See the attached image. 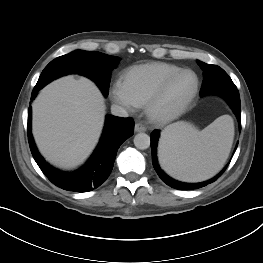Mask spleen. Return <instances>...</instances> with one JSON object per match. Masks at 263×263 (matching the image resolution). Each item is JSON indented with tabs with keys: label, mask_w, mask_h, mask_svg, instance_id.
Segmentation results:
<instances>
[{
	"label": "spleen",
	"mask_w": 263,
	"mask_h": 263,
	"mask_svg": "<svg viewBox=\"0 0 263 263\" xmlns=\"http://www.w3.org/2000/svg\"><path fill=\"white\" fill-rule=\"evenodd\" d=\"M234 137V124L223 115L198 131L190 124L167 126L159 142V162L171 177L200 182L214 176L226 162Z\"/></svg>",
	"instance_id": "obj_1"
}]
</instances>
